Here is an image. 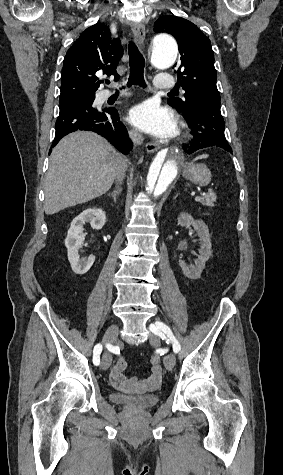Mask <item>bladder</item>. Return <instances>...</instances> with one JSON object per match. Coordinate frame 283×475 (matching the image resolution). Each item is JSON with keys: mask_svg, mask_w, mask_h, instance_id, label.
Masks as SVG:
<instances>
[{"mask_svg": "<svg viewBox=\"0 0 283 475\" xmlns=\"http://www.w3.org/2000/svg\"><path fill=\"white\" fill-rule=\"evenodd\" d=\"M160 400L159 394H141L138 397L135 395H126L121 393L114 394V401L120 404H127L129 406L139 407L140 409H148L158 404Z\"/></svg>", "mask_w": 283, "mask_h": 475, "instance_id": "1", "label": "bladder"}]
</instances>
